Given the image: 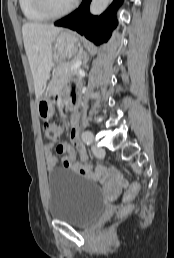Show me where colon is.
<instances>
[{
	"instance_id": "colon-1",
	"label": "colon",
	"mask_w": 174,
	"mask_h": 258,
	"mask_svg": "<svg viewBox=\"0 0 174 258\" xmlns=\"http://www.w3.org/2000/svg\"><path fill=\"white\" fill-rule=\"evenodd\" d=\"M64 130V125L62 121L52 120L44 123L43 134L50 145L58 143ZM140 184L134 182L130 185L126 193L124 194V201L130 202L139 192ZM130 206H125L122 209V213H125L129 210Z\"/></svg>"
}]
</instances>
